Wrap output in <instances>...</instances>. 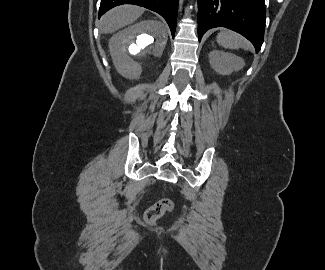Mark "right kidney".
Returning <instances> with one entry per match:
<instances>
[{"instance_id":"obj_1","label":"right kidney","mask_w":325,"mask_h":270,"mask_svg":"<svg viewBox=\"0 0 325 270\" xmlns=\"http://www.w3.org/2000/svg\"><path fill=\"white\" fill-rule=\"evenodd\" d=\"M166 42L163 24L146 20L113 35L109 50L118 73L128 79H137L152 65L153 59L162 55Z\"/></svg>"}]
</instances>
